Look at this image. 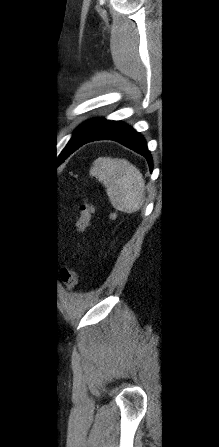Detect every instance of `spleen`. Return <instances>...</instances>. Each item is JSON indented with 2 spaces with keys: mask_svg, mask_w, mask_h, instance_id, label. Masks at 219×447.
Wrapping results in <instances>:
<instances>
[{
  "mask_svg": "<svg viewBox=\"0 0 219 447\" xmlns=\"http://www.w3.org/2000/svg\"><path fill=\"white\" fill-rule=\"evenodd\" d=\"M106 187V193L114 208L132 213L144 202V180L140 171L126 159L100 157L90 169Z\"/></svg>",
  "mask_w": 219,
  "mask_h": 447,
  "instance_id": "spleen-1",
  "label": "spleen"
}]
</instances>
